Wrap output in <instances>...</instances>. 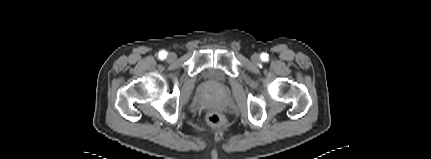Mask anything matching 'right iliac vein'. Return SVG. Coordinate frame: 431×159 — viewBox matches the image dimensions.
Listing matches in <instances>:
<instances>
[{
  "mask_svg": "<svg viewBox=\"0 0 431 159\" xmlns=\"http://www.w3.org/2000/svg\"><path fill=\"white\" fill-rule=\"evenodd\" d=\"M175 59H176V55H175L174 53H170V54L168 55V60L173 61V60H175Z\"/></svg>",
  "mask_w": 431,
  "mask_h": 159,
  "instance_id": "right-iliac-vein-1",
  "label": "right iliac vein"
}]
</instances>
